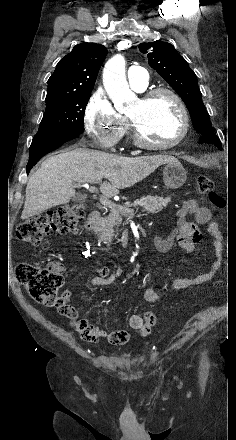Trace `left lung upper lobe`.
I'll list each match as a JSON object with an SVG mask.
<instances>
[{
  "mask_svg": "<svg viewBox=\"0 0 236 440\" xmlns=\"http://www.w3.org/2000/svg\"><path fill=\"white\" fill-rule=\"evenodd\" d=\"M142 53H148L149 65L178 93L187 106L195 130L201 135L213 133L209 114L202 101L197 76L172 44L162 41L142 43Z\"/></svg>",
  "mask_w": 236,
  "mask_h": 440,
  "instance_id": "left-lung-upper-lobe-1",
  "label": "left lung upper lobe"
}]
</instances>
